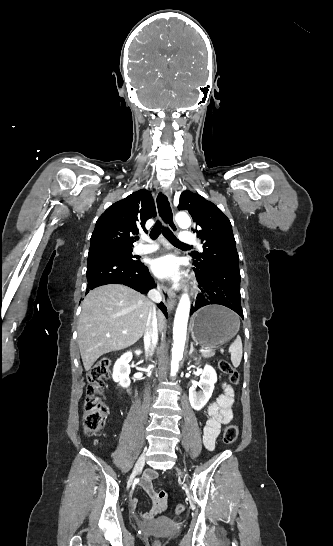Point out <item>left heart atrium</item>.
I'll use <instances>...</instances> for the list:
<instances>
[{
  "mask_svg": "<svg viewBox=\"0 0 333 546\" xmlns=\"http://www.w3.org/2000/svg\"><path fill=\"white\" fill-rule=\"evenodd\" d=\"M151 269L160 278L177 281L179 270L176 261L171 256H161L151 262Z\"/></svg>",
  "mask_w": 333,
  "mask_h": 546,
  "instance_id": "1",
  "label": "left heart atrium"
}]
</instances>
